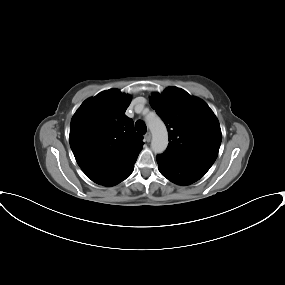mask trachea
Here are the masks:
<instances>
[{"label": "trachea", "instance_id": "obj_1", "mask_svg": "<svg viewBox=\"0 0 285 285\" xmlns=\"http://www.w3.org/2000/svg\"><path fill=\"white\" fill-rule=\"evenodd\" d=\"M135 128H136L137 132L139 134H142V135L145 134L147 131V127H146L145 123L141 120L136 121Z\"/></svg>", "mask_w": 285, "mask_h": 285}]
</instances>
